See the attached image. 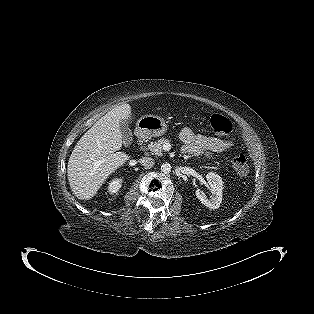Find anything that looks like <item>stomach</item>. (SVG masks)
<instances>
[{
	"label": "stomach",
	"instance_id": "0dacf381",
	"mask_svg": "<svg viewBox=\"0 0 314 314\" xmlns=\"http://www.w3.org/2000/svg\"><path fill=\"white\" fill-rule=\"evenodd\" d=\"M136 130L146 136L159 137L167 132L168 126L162 117L146 115L137 121Z\"/></svg>",
	"mask_w": 314,
	"mask_h": 314
}]
</instances>
